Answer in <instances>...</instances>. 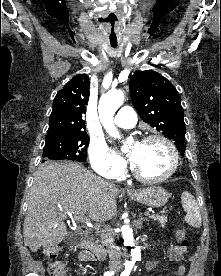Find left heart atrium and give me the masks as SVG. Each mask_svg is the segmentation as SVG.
<instances>
[{
  "label": "left heart atrium",
  "instance_id": "obj_1",
  "mask_svg": "<svg viewBox=\"0 0 221 276\" xmlns=\"http://www.w3.org/2000/svg\"><path fill=\"white\" fill-rule=\"evenodd\" d=\"M137 145V144H136ZM135 156H136V151H132L131 153V159L134 161L135 159Z\"/></svg>",
  "mask_w": 221,
  "mask_h": 276
}]
</instances>
